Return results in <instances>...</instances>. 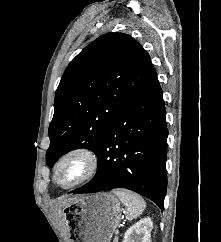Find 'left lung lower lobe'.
I'll use <instances>...</instances> for the list:
<instances>
[{
  "mask_svg": "<svg viewBox=\"0 0 221 242\" xmlns=\"http://www.w3.org/2000/svg\"><path fill=\"white\" fill-rule=\"evenodd\" d=\"M165 118L162 89L156 77L108 127L96 153V175L72 193L126 188L163 210L167 187Z\"/></svg>",
  "mask_w": 221,
  "mask_h": 242,
  "instance_id": "1",
  "label": "left lung lower lobe"
}]
</instances>
